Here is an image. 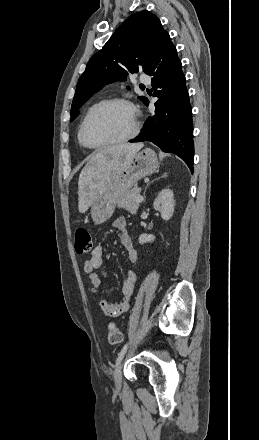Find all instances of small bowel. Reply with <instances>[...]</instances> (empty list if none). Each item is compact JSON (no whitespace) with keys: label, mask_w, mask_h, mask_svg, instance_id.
Segmentation results:
<instances>
[{"label":"small bowel","mask_w":259,"mask_h":440,"mask_svg":"<svg viewBox=\"0 0 259 440\" xmlns=\"http://www.w3.org/2000/svg\"><path fill=\"white\" fill-rule=\"evenodd\" d=\"M113 226L120 232V243L126 251L127 259L130 263H135L138 259V253L135 249L132 240L126 229V220L124 217L117 218ZM103 265V247L97 245L91 252L89 259L83 263V271L88 275L91 282V291L96 293L101 284V279L96 273V270L100 269ZM136 283V274L133 271H129L123 280L121 292L122 300L119 302H108L104 299H100L98 304L102 312L109 317H117L125 313L130 307L131 296L134 292Z\"/></svg>","instance_id":"small-bowel-1"}]
</instances>
